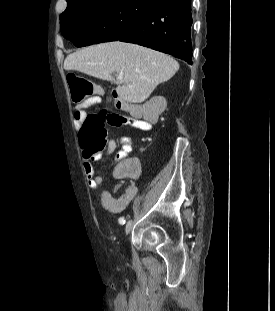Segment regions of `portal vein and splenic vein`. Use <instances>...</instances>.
I'll use <instances>...</instances> for the list:
<instances>
[{
    "instance_id": "18ae733b",
    "label": "portal vein and splenic vein",
    "mask_w": 275,
    "mask_h": 311,
    "mask_svg": "<svg viewBox=\"0 0 275 311\" xmlns=\"http://www.w3.org/2000/svg\"><path fill=\"white\" fill-rule=\"evenodd\" d=\"M117 78L121 80V79H123V76L121 74H119V75H117Z\"/></svg>"
}]
</instances>
